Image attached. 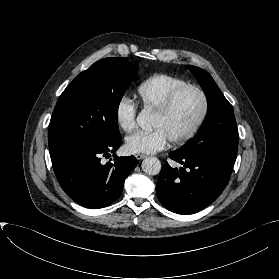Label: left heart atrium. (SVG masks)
Returning a JSON list of instances; mask_svg holds the SVG:
<instances>
[{"label": "left heart atrium", "mask_w": 279, "mask_h": 279, "mask_svg": "<svg viewBox=\"0 0 279 279\" xmlns=\"http://www.w3.org/2000/svg\"><path fill=\"white\" fill-rule=\"evenodd\" d=\"M169 141L162 129L155 128L149 132L139 131L128 136L125 147L130 153L150 154L163 150Z\"/></svg>", "instance_id": "obj_1"}]
</instances>
